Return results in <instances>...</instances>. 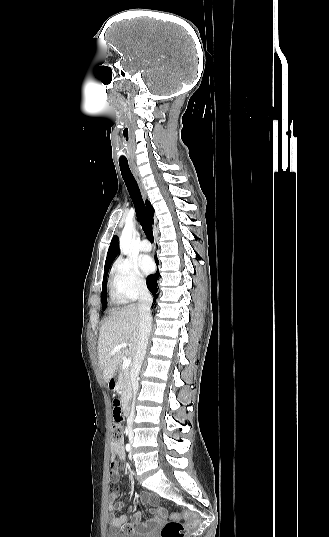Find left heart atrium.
Masks as SVG:
<instances>
[{"instance_id":"left-heart-atrium-1","label":"left heart atrium","mask_w":329,"mask_h":537,"mask_svg":"<svg viewBox=\"0 0 329 537\" xmlns=\"http://www.w3.org/2000/svg\"><path fill=\"white\" fill-rule=\"evenodd\" d=\"M138 264H139V267H140L141 271L144 274H149L150 272L153 271V268H154L153 261H152L151 257H149L147 255L140 256L139 259H138Z\"/></svg>"}]
</instances>
